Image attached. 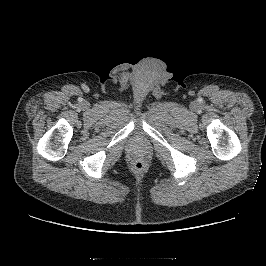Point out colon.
Returning a JSON list of instances; mask_svg holds the SVG:
<instances>
[{
  "instance_id": "1",
  "label": "colon",
  "mask_w": 266,
  "mask_h": 266,
  "mask_svg": "<svg viewBox=\"0 0 266 266\" xmlns=\"http://www.w3.org/2000/svg\"><path fill=\"white\" fill-rule=\"evenodd\" d=\"M144 167H145L144 163L140 160L135 161L133 164V168L136 171H142L144 169Z\"/></svg>"
}]
</instances>
